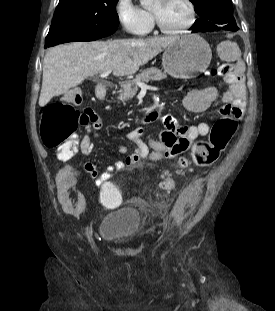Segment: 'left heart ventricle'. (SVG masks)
Instances as JSON below:
<instances>
[{"label": "left heart ventricle", "mask_w": 275, "mask_h": 311, "mask_svg": "<svg viewBox=\"0 0 275 311\" xmlns=\"http://www.w3.org/2000/svg\"><path fill=\"white\" fill-rule=\"evenodd\" d=\"M168 29H177L189 20V9L184 0H155L151 8Z\"/></svg>", "instance_id": "left-heart-ventricle-1"}]
</instances>
